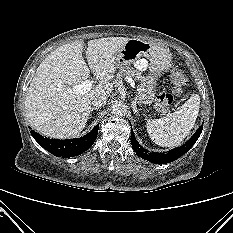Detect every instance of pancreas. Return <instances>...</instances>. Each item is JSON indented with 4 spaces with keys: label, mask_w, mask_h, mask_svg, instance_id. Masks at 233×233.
Listing matches in <instances>:
<instances>
[{
    "label": "pancreas",
    "mask_w": 233,
    "mask_h": 233,
    "mask_svg": "<svg viewBox=\"0 0 233 233\" xmlns=\"http://www.w3.org/2000/svg\"><path fill=\"white\" fill-rule=\"evenodd\" d=\"M125 76L133 77L134 79H139L141 78V73L132 67L125 66L120 69V71L117 74V78L122 79Z\"/></svg>",
    "instance_id": "pancreas-1"
}]
</instances>
